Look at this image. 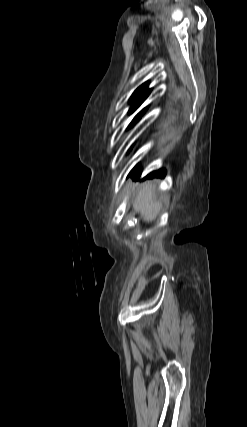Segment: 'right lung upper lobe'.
Returning <instances> with one entry per match:
<instances>
[{
	"instance_id": "cb5924a9",
	"label": "right lung upper lobe",
	"mask_w": 247,
	"mask_h": 427,
	"mask_svg": "<svg viewBox=\"0 0 247 427\" xmlns=\"http://www.w3.org/2000/svg\"><path fill=\"white\" fill-rule=\"evenodd\" d=\"M150 92L151 89H147V82L137 88L130 99V112H133L147 98ZM145 110L146 108H144L139 114H143Z\"/></svg>"
}]
</instances>
